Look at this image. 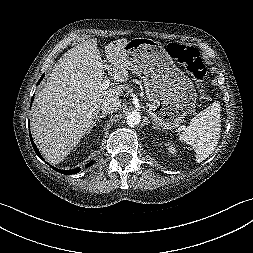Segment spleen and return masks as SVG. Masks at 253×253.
Returning <instances> with one entry per match:
<instances>
[{"instance_id": "obj_1", "label": "spleen", "mask_w": 253, "mask_h": 253, "mask_svg": "<svg viewBox=\"0 0 253 253\" xmlns=\"http://www.w3.org/2000/svg\"><path fill=\"white\" fill-rule=\"evenodd\" d=\"M221 107L218 101L197 114L179 140L195 148L198 163L209 157L215 150L221 133Z\"/></svg>"}]
</instances>
